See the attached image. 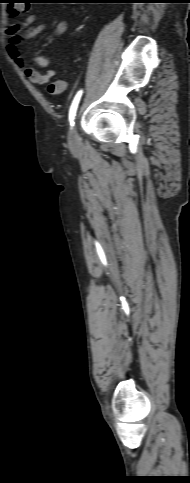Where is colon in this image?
Here are the masks:
<instances>
[{
	"instance_id": "colon-1",
	"label": "colon",
	"mask_w": 190,
	"mask_h": 483,
	"mask_svg": "<svg viewBox=\"0 0 190 483\" xmlns=\"http://www.w3.org/2000/svg\"><path fill=\"white\" fill-rule=\"evenodd\" d=\"M31 0H12L8 4V12L11 16L17 17L28 12Z\"/></svg>"
}]
</instances>
